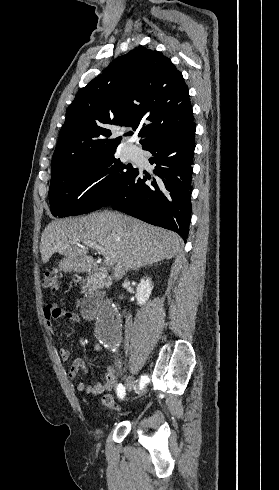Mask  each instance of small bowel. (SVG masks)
<instances>
[{
    "mask_svg": "<svg viewBox=\"0 0 279 490\" xmlns=\"http://www.w3.org/2000/svg\"><path fill=\"white\" fill-rule=\"evenodd\" d=\"M44 324L45 327L51 329L55 321L59 319H65L70 322H80V315L69 309H64L55 304H48L43 310ZM100 346H96L95 350L99 351ZM59 355L63 361H68L71 358V352L66 347H61L59 349ZM88 369L83 359L77 358L73 360L71 368L68 372V376L71 380L78 378L79 374H87ZM115 384V373L112 366H109L104 375L103 382H97L94 385H86L83 382H78L76 384V391L79 393H84L86 395H100L113 390Z\"/></svg>",
    "mask_w": 279,
    "mask_h": 490,
    "instance_id": "c3829d8e",
    "label": "small bowel"
}]
</instances>
